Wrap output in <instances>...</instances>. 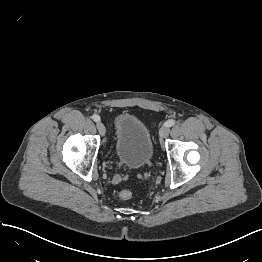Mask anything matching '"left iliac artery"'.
<instances>
[{
  "label": "left iliac artery",
  "mask_w": 262,
  "mask_h": 262,
  "mask_svg": "<svg viewBox=\"0 0 262 262\" xmlns=\"http://www.w3.org/2000/svg\"><path fill=\"white\" fill-rule=\"evenodd\" d=\"M165 126L171 127L173 125H175V121L174 120H168L164 123Z\"/></svg>",
  "instance_id": "1"
}]
</instances>
